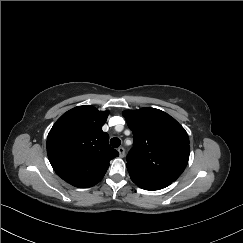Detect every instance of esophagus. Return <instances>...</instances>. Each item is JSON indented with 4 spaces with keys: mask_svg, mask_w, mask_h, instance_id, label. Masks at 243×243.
I'll return each mask as SVG.
<instances>
[{
    "mask_svg": "<svg viewBox=\"0 0 243 243\" xmlns=\"http://www.w3.org/2000/svg\"><path fill=\"white\" fill-rule=\"evenodd\" d=\"M119 156L123 158L125 156V149L123 147L118 148Z\"/></svg>",
    "mask_w": 243,
    "mask_h": 243,
    "instance_id": "1",
    "label": "esophagus"
}]
</instances>
